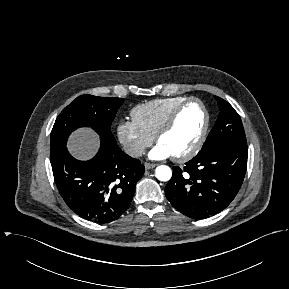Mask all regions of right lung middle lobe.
<instances>
[{"instance_id":"1","label":"right lung middle lobe","mask_w":289,"mask_h":289,"mask_svg":"<svg viewBox=\"0 0 289 289\" xmlns=\"http://www.w3.org/2000/svg\"><path fill=\"white\" fill-rule=\"evenodd\" d=\"M124 99L82 95L71 102L57 117L51 132V154L53 160L66 147L72 131L79 127L91 126L100 135L116 143L111 133V123Z\"/></svg>"}]
</instances>
